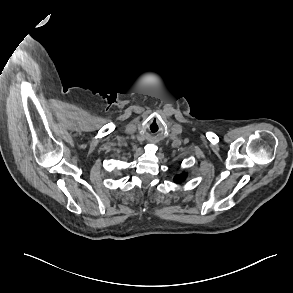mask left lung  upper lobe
Instances as JSON below:
<instances>
[{"mask_svg": "<svg viewBox=\"0 0 293 293\" xmlns=\"http://www.w3.org/2000/svg\"><path fill=\"white\" fill-rule=\"evenodd\" d=\"M184 178H185V174H181V175H177V176L174 178V180H175V182L179 183V182L183 181Z\"/></svg>", "mask_w": 293, "mask_h": 293, "instance_id": "1", "label": "left lung upper lobe"}]
</instances>
